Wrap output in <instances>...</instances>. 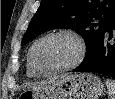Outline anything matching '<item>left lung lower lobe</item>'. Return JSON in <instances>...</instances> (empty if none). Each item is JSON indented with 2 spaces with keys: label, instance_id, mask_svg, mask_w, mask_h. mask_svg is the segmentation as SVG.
I'll return each instance as SVG.
<instances>
[{
  "label": "left lung lower lobe",
  "instance_id": "0a47b994",
  "mask_svg": "<svg viewBox=\"0 0 115 99\" xmlns=\"http://www.w3.org/2000/svg\"><path fill=\"white\" fill-rule=\"evenodd\" d=\"M114 28L115 17L97 47L84 58L83 62L73 72H95L115 79V43L110 42Z\"/></svg>",
  "mask_w": 115,
  "mask_h": 99
}]
</instances>
